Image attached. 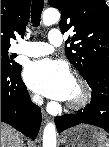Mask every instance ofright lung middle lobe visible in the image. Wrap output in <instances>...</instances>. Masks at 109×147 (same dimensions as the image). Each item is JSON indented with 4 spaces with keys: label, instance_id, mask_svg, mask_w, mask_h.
<instances>
[{
    "label": "right lung middle lobe",
    "instance_id": "1",
    "mask_svg": "<svg viewBox=\"0 0 109 147\" xmlns=\"http://www.w3.org/2000/svg\"><path fill=\"white\" fill-rule=\"evenodd\" d=\"M12 59V56H8V48H1V68L3 70H11L18 66Z\"/></svg>",
    "mask_w": 109,
    "mask_h": 147
}]
</instances>
